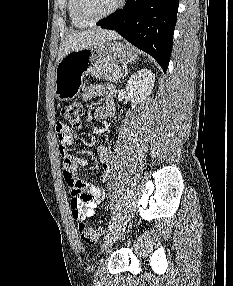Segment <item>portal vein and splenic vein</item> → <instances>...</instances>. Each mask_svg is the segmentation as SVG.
Returning <instances> with one entry per match:
<instances>
[{
	"mask_svg": "<svg viewBox=\"0 0 233 286\" xmlns=\"http://www.w3.org/2000/svg\"><path fill=\"white\" fill-rule=\"evenodd\" d=\"M115 76L118 77V78H120L122 75H121L120 72H118V73L115 74Z\"/></svg>",
	"mask_w": 233,
	"mask_h": 286,
	"instance_id": "1",
	"label": "portal vein and splenic vein"
}]
</instances>
